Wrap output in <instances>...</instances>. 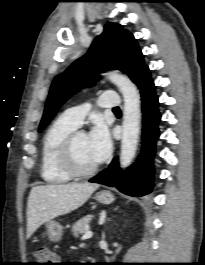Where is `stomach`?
<instances>
[{
    "label": "stomach",
    "mask_w": 205,
    "mask_h": 265,
    "mask_svg": "<svg viewBox=\"0 0 205 265\" xmlns=\"http://www.w3.org/2000/svg\"><path fill=\"white\" fill-rule=\"evenodd\" d=\"M95 199L102 204H111L114 201V196L109 191H101L95 195ZM46 229L48 238L51 241L57 242L62 238L63 227L60 223L50 220L46 222Z\"/></svg>",
    "instance_id": "1"
}]
</instances>
